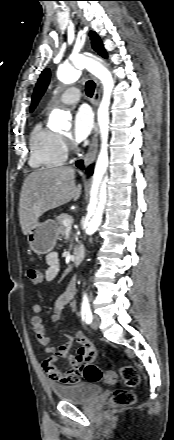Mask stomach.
<instances>
[{
	"label": "stomach",
	"mask_w": 174,
	"mask_h": 440,
	"mask_svg": "<svg viewBox=\"0 0 174 440\" xmlns=\"http://www.w3.org/2000/svg\"><path fill=\"white\" fill-rule=\"evenodd\" d=\"M59 235L58 225L53 220L37 222L29 231V247L38 255L47 254L55 247Z\"/></svg>",
	"instance_id": "stomach-1"
}]
</instances>
